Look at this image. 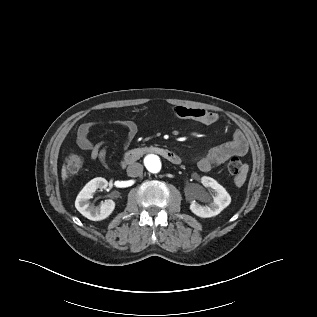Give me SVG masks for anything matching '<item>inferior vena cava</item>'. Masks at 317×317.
<instances>
[{"instance_id": "1", "label": "inferior vena cava", "mask_w": 317, "mask_h": 317, "mask_svg": "<svg viewBox=\"0 0 317 317\" xmlns=\"http://www.w3.org/2000/svg\"><path fill=\"white\" fill-rule=\"evenodd\" d=\"M143 165L140 163H133L127 167V175L130 177H137L142 175Z\"/></svg>"}]
</instances>
